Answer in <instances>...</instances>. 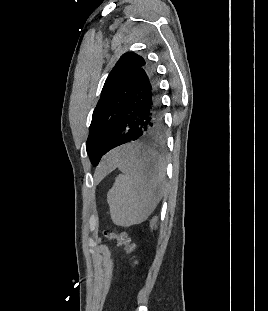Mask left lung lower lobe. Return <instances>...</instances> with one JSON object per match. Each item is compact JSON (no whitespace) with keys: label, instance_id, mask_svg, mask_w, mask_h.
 <instances>
[{"label":"left lung lower lobe","instance_id":"1","mask_svg":"<svg viewBox=\"0 0 268 311\" xmlns=\"http://www.w3.org/2000/svg\"><path fill=\"white\" fill-rule=\"evenodd\" d=\"M121 127L108 143L105 154L128 142L164 141V119L155 68L146 62L138 72Z\"/></svg>","mask_w":268,"mask_h":311}]
</instances>
